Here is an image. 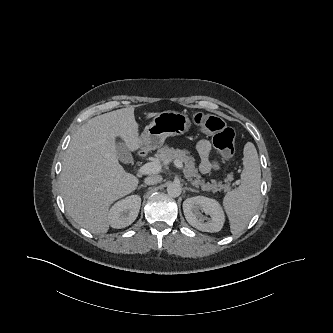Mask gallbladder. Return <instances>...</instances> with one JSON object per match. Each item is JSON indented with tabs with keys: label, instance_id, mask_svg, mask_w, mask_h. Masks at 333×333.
<instances>
[{
	"label": "gallbladder",
	"instance_id": "1",
	"mask_svg": "<svg viewBox=\"0 0 333 333\" xmlns=\"http://www.w3.org/2000/svg\"><path fill=\"white\" fill-rule=\"evenodd\" d=\"M116 153L118 159L124 163H131L133 160L131 152L121 139L116 142Z\"/></svg>",
	"mask_w": 333,
	"mask_h": 333
}]
</instances>
